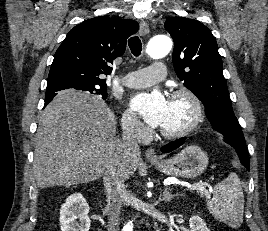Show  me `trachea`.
I'll list each match as a JSON object with an SVG mask.
<instances>
[{"instance_id": "3493384b", "label": "trachea", "mask_w": 268, "mask_h": 231, "mask_svg": "<svg viewBox=\"0 0 268 231\" xmlns=\"http://www.w3.org/2000/svg\"><path fill=\"white\" fill-rule=\"evenodd\" d=\"M128 45L135 57H138L142 51V43L139 37L134 36L128 40Z\"/></svg>"}]
</instances>
